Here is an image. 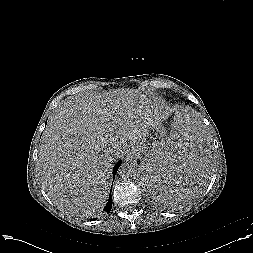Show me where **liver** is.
I'll list each match as a JSON object with an SVG mask.
<instances>
[{"label":"liver","mask_w":253,"mask_h":253,"mask_svg":"<svg viewBox=\"0 0 253 253\" xmlns=\"http://www.w3.org/2000/svg\"><path fill=\"white\" fill-rule=\"evenodd\" d=\"M169 114L159 99L135 89L63 101L50 116L38 152L50 200L74 216H96L108 198L113 163Z\"/></svg>","instance_id":"obj_1"}]
</instances>
